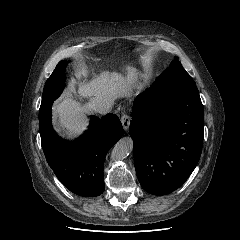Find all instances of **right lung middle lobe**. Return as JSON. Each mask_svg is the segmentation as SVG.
Here are the masks:
<instances>
[{
  "label": "right lung middle lobe",
  "mask_w": 240,
  "mask_h": 240,
  "mask_svg": "<svg viewBox=\"0 0 240 240\" xmlns=\"http://www.w3.org/2000/svg\"><path fill=\"white\" fill-rule=\"evenodd\" d=\"M66 65V61H60L46 81L39 110V118L44 116L51 109L54 100H56L63 91Z\"/></svg>",
  "instance_id": "obj_1"
}]
</instances>
